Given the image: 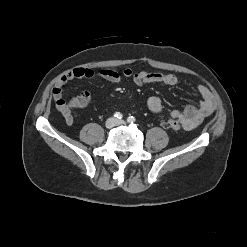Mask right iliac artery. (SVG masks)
Returning a JSON list of instances; mask_svg holds the SVG:
<instances>
[{
  "label": "right iliac artery",
  "mask_w": 247,
  "mask_h": 247,
  "mask_svg": "<svg viewBox=\"0 0 247 247\" xmlns=\"http://www.w3.org/2000/svg\"><path fill=\"white\" fill-rule=\"evenodd\" d=\"M114 117L117 119H122L123 115L120 112H115Z\"/></svg>",
  "instance_id": "82829eb1"
}]
</instances>
